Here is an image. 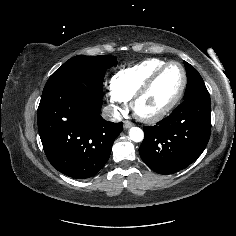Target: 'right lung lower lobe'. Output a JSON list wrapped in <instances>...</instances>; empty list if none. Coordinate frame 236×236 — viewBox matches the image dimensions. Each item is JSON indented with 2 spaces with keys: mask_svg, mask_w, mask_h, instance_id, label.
I'll use <instances>...</instances> for the list:
<instances>
[{
  "mask_svg": "<svg viewBox=\"0 0 236 236\" xmlns=\"http://www.w3.org/2000/svg\"><path fill=\"white\" fill-rule=\"evenodd\" d=\"M102 97L81 82L42 93L38 131L52 166L77 179L94 176L108 161L123 129L100 116Z\"/></svg>",
  "mask_w": 236,
  "mask_h": 236,
  "instance_id": "1",
  "label": "right lung lower lobe"
}]
</instances>
